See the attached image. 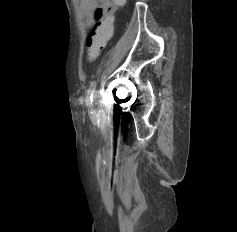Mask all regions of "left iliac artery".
<instances>
[{
  "instance_id": "44dca946",
  "label": "left iliac artery",
  "mask_w": 237,
  "mask_h": 232,
  "mask_svg": "<svg viewBox=\"0 0 237 232\" xmlns=\"http://www.w3.org/2000/svg\"><path fill=\"white\" fill-rule=\"evenodd\" d=\"M96 90V81L91 82L89 89L87 91V97H86V104L87 106L91 107L92 106V101H93V95Z\"/></svg>"
}]
</instances>
